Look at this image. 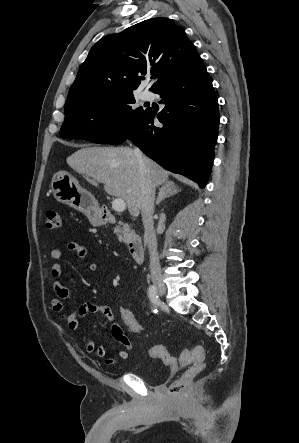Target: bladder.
I'll list each match as a JSON object with an SVG mask.
<instances>
[{
  "label": "bladder",
  "instance_id": "bladder-1",
  "mask_svg": "<svg viewBox=\"0 0 299 443\" xmlns=\"http://www.w3.org/2000/svg\"><path fill=\"white\" fill-rule=\"evenodd\" d=\"M133 372L142 378L145 382L154 384L165 378L166 373H155L151 370L139 369L138 365L133 367Z\"/></svg>",
  "mask_w": 299,
  "mask_h": 443
}]
</instances>
